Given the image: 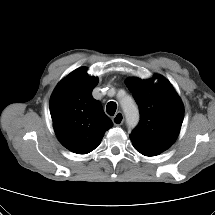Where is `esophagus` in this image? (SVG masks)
Here are the masks:
<instances>
[{
	"instance_id": "obj_1",
	"label": "esophagus",
	"mask_w": 215,
	"mask_h": 215,
	"mask_svg": "<svg viewBox=\"0 0 215 215\" xmlns=\"http://www.w3.org/2000/svg\"><path fill=\"white\" fill-rule=\"evenodd\" d=\"M112 121H113L114 125H116V126L122 125L123 122H124V115H123V113L120 112V111L117 112L115 114V116L112 118Z\"/></svg>"
}]
</instances>
